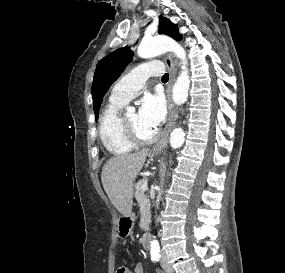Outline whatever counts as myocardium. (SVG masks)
<instances>
[{"mask_svg":"<svg viewBox=\"0 0 285 273\" xmlns=\"http://www.w3.org/2000/svg\"><path fill=\"white\" fill-rule=\"evenodd\" d=\"M120 122H121V128H122V132L124 136L133 145H137V146L149 145L155 142L160 136V131L156 130V132L151 137L142 138L137 133V131L126 122L125 117H122Z\"/></svg>","mask_w":285,"mask_h":273,"instance_id":"f54148a6","label":"myocardium"}]
</instances>
